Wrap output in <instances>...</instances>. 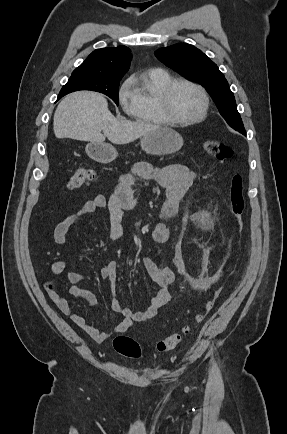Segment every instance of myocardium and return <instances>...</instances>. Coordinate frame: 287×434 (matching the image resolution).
<instances>
[{
    "label": "myocardium",
    "instance_id": "myocardium-1",
    "mask_svg": "<svg viewBox=\"0 0 287 434\" xmlns=\"http://www.w3.org/2000/svg\"><path fill=\"white\" fill-rule=\"evenodd\" d=\"M179 84H185L193 87L199 92L202 98V108L199 114L193 118L178 119L173 115L171 111V94L173 89ZM158 104L162 115L168 123L174 125H191L202 121L206 117L209 109V97L204 87L200 84L186 78H173L161 89L158 96Z\"/></svg>",
    "mask_w": 287,
    "mask_h": 434
}]
</instances>
